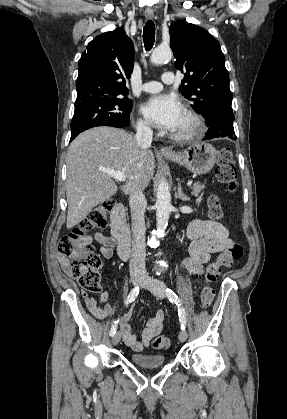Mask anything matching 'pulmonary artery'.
I'll return each instance as SVG.
<instances>
[{
  "mask_svg": "<svg viewBox=\"0 0 287 419\" xmlns=\"http://www.w3.org/2000/svg\"><path fill=\"white\" fill-rule=\"evenodd\" d=\"M174 82H175L174 74L168 71L162 75V83L157 82V81L146 82L142 85L141 89L144 92L154 93V92L160 91L163 88V84H172Z\"/></svg>",
  "mask_w": 287,
  "mask_h": 419,
  "instance_id": "obj_1",
  "label": "pulmonary artery"
}]
</instances>
